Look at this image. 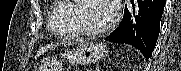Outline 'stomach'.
Returning <instances> with one entry per match:
<instances>
[{
	"mask_svg": "<svg viewBox=\"0 0 181 71\" xmlns=\"http://www.w3.org/2000/svg\"><path fill=\"white\" fill-rule=\"evenodd\" d=\"M107 53V49L101 44H80L74 50L66 54L72 64H91L101 60ZM41 71H55L53 66L46 62L40 67Z\"/></svg>",
	"mask_w": 181,
	"mask_h": 71,
	"instance_id": "obj_1",
	"label": "stomach"
}]
</instances>
